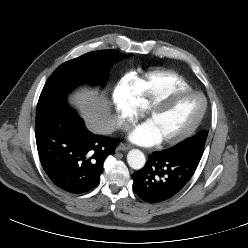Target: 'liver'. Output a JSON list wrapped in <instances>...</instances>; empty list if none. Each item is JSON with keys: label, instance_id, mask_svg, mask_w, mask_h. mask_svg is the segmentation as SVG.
<instances>
[{"label": "liver", "instance_id": "liver-1", "mask_svg": "<svg viewBox=\"0 0 248 248\" xmlns=\"http://www.w3.org/2000/svg\"><path fill=\"white\" fill-rule=\"evenodd\" d=\"M80 110L87 128L96 134H109L114 129L108 100L95 90L82 89L69 97Z\"/></svg>", "mask_w": 248, "mask_h": 248}]
</instances>
